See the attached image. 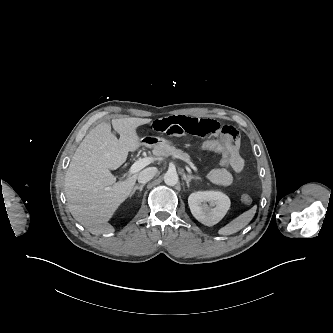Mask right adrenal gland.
Segmentation results:
<instances>
[{
    "mask_svg": "<svg viewBox=\"0 0 333 333\" xmlns=\"http://www.w3.org/2000/svg\"><path fill=\"white\" fill-rule=\"evenodd\" d=\"M144 186H145V184H142V185H140V186H135V187L133 188L131 194H130V197L133 196V194L136 192V190H139L140 193H141V192H142V189H143Z\"/></svg>",
    "mask_w": 333,
    "mask_h": 333,
    "instance_id": "1",
    "label": "right adrenal gland"
}]
</instances>
